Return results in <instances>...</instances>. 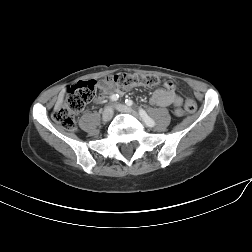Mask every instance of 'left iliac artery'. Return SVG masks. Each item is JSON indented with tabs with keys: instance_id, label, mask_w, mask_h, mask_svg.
Listing matches in <instances>:
<instances>
[{
	"instance_id": "1",
	"label": "left iliac artery",
	"mask_w": 252,
	"mask_h": 252,
	"mask_svg": "<svg viewBox=\"0 0 252 252\" xmlns=\"http://www.w3.org/2000/svg\"><path fill=\"white\" fill-rule=\"evenodd\" d=\"M125 103L128 106H133L134 105L133 101L130 100V99H126ZM138 112H139V115L141 116V118L143 119V121L146 123L147 126L153 127L155 125L154 120L147 115V113L145 112V110H143L142 108H140L138 110Z\"/></svg>"
}]
</instances>
